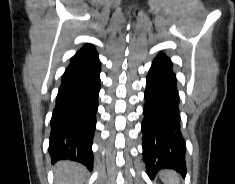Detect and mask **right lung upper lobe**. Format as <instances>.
<instances>
[{"instance_id":"right-lung-upper-lobe-1","label":"right lung upper lobe","mask_w":235,"mask_h":184,"mask_svg":"<svg viewBox=\"0 0 235 184\" xmlns=\"http://www.w3.org/2000/svg\"><path fill=\"white\" fill-rule=\"evenodd\" d=\"M94 47L91 44L85 45L83 48H81L79 51H93Z\"/></svg>"}]
</instances>
